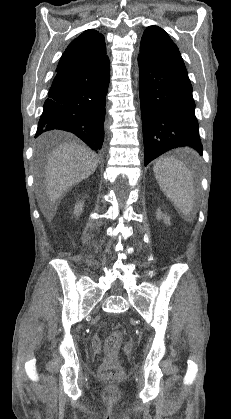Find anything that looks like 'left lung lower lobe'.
<instances>
[{"mask_svg": "<svg viewBox=\"0 0 231 419\" xmlns=\"http://www.w3.org/2000/svg\"><path fill=\"white\" fill-rule=\"evenodd\" d=\"M138 64L145 166L179 147H191L202 155L187 70L147 61L140 55Z\"/></svg>", "mask_w": 231, "mask_h": 419, "instance_id": "obj_1", "label": "left lung lower lobe"}]
</instances>
